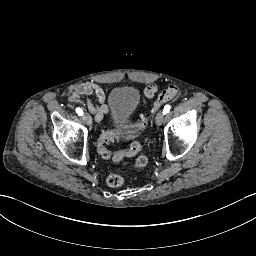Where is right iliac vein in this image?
Returning <instances> with one entry per match:
<instances>
[{"label": "right iliac vein", "mask_w": 256, "mask_h": 256, "mask_svg": "<svg viewBox=\"0 0 256 256\" xmlns=\"http://www.w3.org/2000/svg\"><path fill=\"white\" fill-rule=\"evenodd\" d=\"M83 120H84V122H85L88 126H91V124H92V118H91V116H90L88 113H85V114L83 115Z\"/></svg>", "instance_id": "obj_1"}]
</instances>
